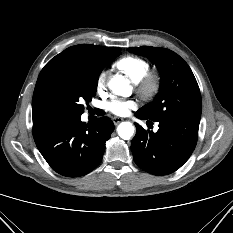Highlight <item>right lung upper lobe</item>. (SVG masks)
Returning a JSON list of instances; mask_svg holds the SVG:
<instances>
[{
    "mask_svg": "<svg viewBox=\"0 0 233 233\" xmlns=\"http://www.w3.org/2000/svg\"><path fill=\"white\" fill-rule=\"evenodd\" d=\"M108 48L90 44L75 45L67 48L45 65L39 74L32 99L33 127L56 118L46 104L47 83L52 74L66 63L95 59L105 53Z\"/></svg>",
    "mask_w": 233,
    "mask_h": 233,
    "instance_id": "1",
    "label": "right lung upper lobe"
}]
</instances>
